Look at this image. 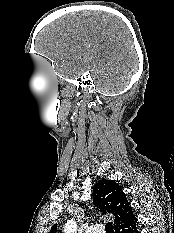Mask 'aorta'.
<instances>
[{
    "label": "aorta",
    "mask_w": 174,
    "mask_h": 233,
    "mask_svg": "<svg viewBox=\"0 0 174 233\" xmlns=\"http://www.w3.org/2000/svg\"><path fill=\"white\" fill-rule=\"evenodd\" d=\"M76 231H77V224L73 219L65 223L63 233H76Z\"/></svg>",
    "instance_id": "762f6f07"
}]
</instances>
